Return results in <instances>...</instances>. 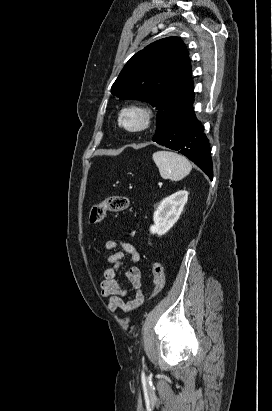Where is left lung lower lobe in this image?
<instances>
[{"mask_svg":"<svg viewBox=\"0 0 272 411\" xmlns=\"http://www.w3.org/2000/svg\"><path fill=\"white\" fill-rule=\"evenodd\" d=\"M193 102L194 97L169 118L153 136L152 141L179 151L212 180L210 145L201 122L195 116Z\"/></svg>","mask_w":272,"mask_h":411,"instance_id":"0a47b994","label":"left lung lower lobe"}]
</instances>
